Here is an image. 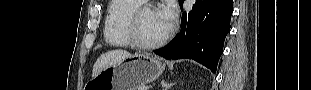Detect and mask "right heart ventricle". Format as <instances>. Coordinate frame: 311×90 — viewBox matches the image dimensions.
Masks as SVG:
<instances>
[{"mask_svg": "<svg viewBox=\"0 0 311 90\" xmlns=\"http://www.w3.org/2000/svg\"><path fill=\"white\" fill-rule=\"evenodd\" d=\"M144 3L140 0H113L107 8L104 22V39L114 47H130L128 21L133 11Z\"/></svg>", "mask_w": 311, "mask_h": 90, "instance_id": "right-heart-ventricle-1", "label": "right heart ventricle"}]
</instances>
